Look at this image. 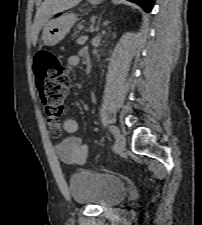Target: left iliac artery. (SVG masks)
Wrapping results in <instances>:
<instances>
[{"label":"left iliac artery","mask_w":202,"mask_h":225,"mask_svg":"<svg viewBox=\"0 0 202 225\" xmlns=\"http://www.w3.org/2000/svg\"><path fill=\"white\" fill-rule=\"evenodd\" d=\"M109 130L111 131L112 134H117L119 132L118 128L116 126H110Z\"/></svg>","instance_id":"1"}]
</instances>
